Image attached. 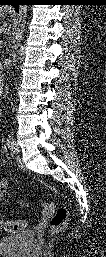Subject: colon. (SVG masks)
Wrapping results in <instances>:
<instances>
[{
    "label": "colon",
    "instance_id": "obj_1",
    "mask_svg": "<svg viewBox=\"0 0 106 257\" xmlns=\"http://www.w3.org/2000/svg\"><path fill=\"white\" fill-rule=\"evenodd\" d=\"M68 211L65 207H58L53 210L50 216V224L54 233L62 232L67 225ZM0 226L4 231L16 233L26 228L25 220H2Z\"/></svg>",
    "mask_w": 106,
    "mask_h": 257
}]
</instances>
